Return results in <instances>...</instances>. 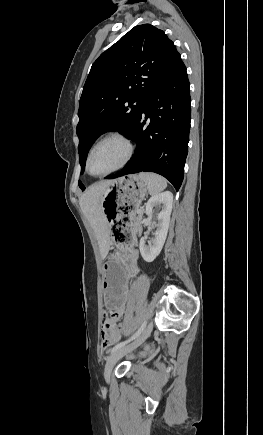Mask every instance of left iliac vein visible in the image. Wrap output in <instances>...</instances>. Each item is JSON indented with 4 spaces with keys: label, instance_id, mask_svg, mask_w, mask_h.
Segmentation results:
<instances>
[{
    "label": "left iliac vein",
    "instance_id": "left-iliac-vein-1",
    "mask_svg": "<svg viewBox=\"0 0 263 435\" xmlns=\"http://www.w3.org/2000/svg\"><path fill=\"white\" fill-rule=\"evenodd\" d=\"M153 329V323L151 322L135 339L132 343L116 350L115 352L111 353V355L108 357L105 369H104V378L106 382L108 383L110 381L111 372L115 364L127 353L131 352L132 350L136 349L138 346H140L151 334Z\"/></svg>",
    "mask_w": 263,
    "mask_h": 435
}]
</instances>
